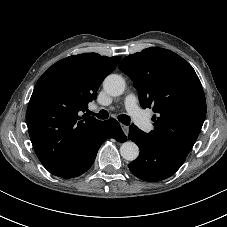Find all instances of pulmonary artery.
<instances>
[{
  "instance_id": "obj_1",
  "label": "pulmonary artery",
  "mask_w": 227,
  "mask_h": 227,
  "mask_svg": "<svg viewBox=\"0 0 227 227\" xmlns=\"http://www.w3.org/2000/svg\"><path fill=\"white\" fill-rule=\"evenodd\" d=\"M125 107L130 116L144 131L151 129L150 122L145 118L143 112L138 106L137 97L134 94H128L124 100Z\"/></svg>"
}]
</instances>
